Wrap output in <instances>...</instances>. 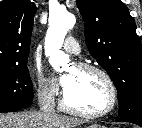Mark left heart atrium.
Here are the masks:
<instances>
[{
  "label": "left heart atrium",
  "instance_id": "obj_1",
  "mask_svg": "<svg viewBox=\"0 0 142 128\" xmlns=\"http://www.w3.org/2000/svg\"><path fill=\"white\" fill-rule=\"evenodd\" d=\"M72 82V78L70 75H64L63 77H61L60 79V83L63 86L64 89L68 88L70 86Z\"/></svg>",
  "mask_w": 142,
  "mask_h": 128
}]
</instances>
